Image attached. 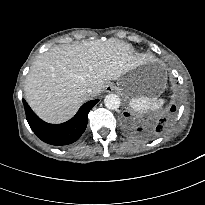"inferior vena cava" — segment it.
<instances>
[{
	"label": "inferior vena cava",
	"instance_id": "obj_1",
	"mask_svg": "<svg viewBox=\"0 0 205 205\" xmlns=\"http://www.w3.org/2000/svg\"><path fill=\"white\" fill-rule=\"evenodd\" d=\"M87 92H88L89 94H91V93H92V89L88 88V89H87Z\"/></svg>",
	"mask_w": 205,
	"mask_h": 205
}]
</instances>
